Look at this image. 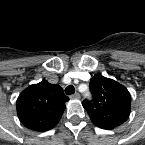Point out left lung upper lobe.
Returning a JSON list of instances; mask_svg holds the SVG:
<instances>
[{"mask_svg":"<svg viewBox=\"0 0 145 145\" xmlns=\"http://www.w3.org/2000/svg\"><path fill=\"white\" fill-rule=\"evenodd\" d=\"M92 101H83L91 121L106 130L123 124L129 117L131 96L126 87L113 79L96 74L90 81Z\"/></svg>","mask_w":145,"mask_h":145,"instance_id":"5c2ea615","label":"left lung upper lobe"}]
</instances>
